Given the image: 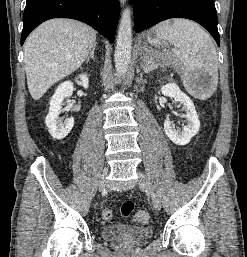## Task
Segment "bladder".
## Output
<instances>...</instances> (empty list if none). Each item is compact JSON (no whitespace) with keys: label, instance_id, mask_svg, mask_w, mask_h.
I'll use <instances>...</instances> for the list:
<instances>
[{"label":"bladder","instance_id":"31cf9c89","mask_svg":"<svg viewBox=\"0 0 247 257\" xmlns=\"http://www.w3.org/2000/svg\"><path fill=\"white\" fill-rule=\"evenodd\" d=\"M101 235L107 241L135 245L149 240L153 230L147 226L114 224L103 227Z\"/></svg>","mask_w":247,"mask_h":257}]
</instances>
